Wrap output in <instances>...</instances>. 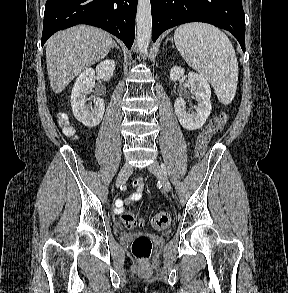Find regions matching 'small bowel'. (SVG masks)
Here are the masks:
<instances>
[{
  "mask_svg": "<svg viewBox=\"0 0 288 293\" xmlns=\"http://www.w3.org/2000/svg\"><path fill=\"white\" fill-rule=\"evenodd\" d=\"M141 198V194L139 192H136L132 195L131 197V201H137ZM123 205H124V202L122 200H118L117 201V211L119 213L123 212L124 211V208H123Z\"/></svg>",
  "mask_w": 288,
  "mask_h": 293,
  "instance_id": "obj_1",
  "label": "small bowel"
}]
</instances>
